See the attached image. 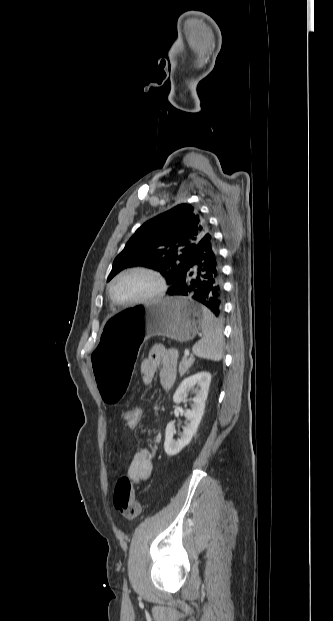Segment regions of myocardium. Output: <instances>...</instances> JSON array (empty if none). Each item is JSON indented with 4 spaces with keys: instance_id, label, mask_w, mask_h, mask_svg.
I'll list each match as a JSON object with an SVG mask.
<instances>
[{
    "instance_id": "1",
    "label": "myocardium",
    "mask_w": 333,
    "mask_h": 621,
    "mask_svg": "<svg viewBox=\"0 0 333 621\" xmlns=\"http://www.w3.org/2000/svg\"><path fill=\"white\" fill-rule=\"evenodd\" d=\"M132 273H142V274H147L153 277L155 281L157 282V289L154 293L146 297L140 298V299H136L132 301H119L113 294V285L121 277L127 274H132ZM166 291H167V284L162 274L156 269H153L147 266H133V267L126 268L122 270L121 272H119L110 281L108 285V295H109L111 302L117 306H122V307L136 306L140 304H147L150 302L157 301L165 295Z\"/></svg>"
}]
</instances>
